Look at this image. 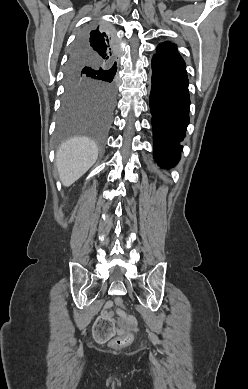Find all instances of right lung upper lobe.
I'll return each mask as SVG.
<instances>
[{
	"label": "right lung upper lobe",
	"mask_w": 248,
	"mask_h": 389,
	"mask_svg": "<svg viewBox=\"0 0 248 389\" xmlns=\"http://www.w3.org/2000/svg\"><path fill=\"white\" fill-rule=\"evenodd\" d=\"M108 38L107 31L98 27L87 32L83 39L78 43H82V47L86 49L91 56L108 62L113 67H116L118 48L117 45L113 48Z\"/></svg>",
	"instance_id": "cb5924a9"
}]
</instances>
